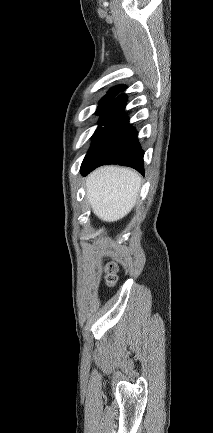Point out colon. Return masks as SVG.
Masks as SVG:
<instances>
[{
    "mask_svg": "<svg viewBox=\"0 0 213 433\" xmlns=\"http://www.w3.org/2000/svg\"><path fill=\"white\" fill-rule=\"evenodd\" d=\"M108 271H109V273H108V277H107V283L110 286H113L117 281V275H116L117 266H116V264L110 263L108 265Z\"/></svg>",
    "mask_w": 213,
    "mask_h": 433,
    "instance_id": "obj_1",
    "label": "colon"
}]
</instances>
